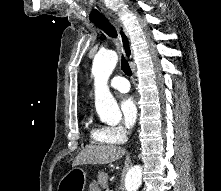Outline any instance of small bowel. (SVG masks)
Wrapping results in <instances>:
<instances>
[{
  "label": "small bowel",
  "instance_id": "small-bowel-1",
  "mask_svg": "<svg viewBox=\"0 0 221 191\" xmlns=\"http://www.w3.org/2000/svg\"><path fill=\"white\" fill-rule=\"evenodd\" d=\"M89 191H100L96 183H91Z\"/></svg>",
  "mask_w": 221,
  "mask_h": 191
}]
</instances>
